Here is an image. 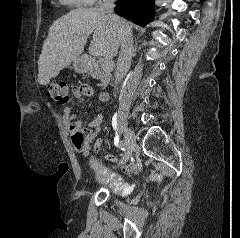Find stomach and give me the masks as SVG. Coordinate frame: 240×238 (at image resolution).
<instances>
[{"label": "stomach", "instance_id": "0dacf381", "mask_svg": "<svg viewBox=\"0 0 240 238\" xmlns=\"http://www.w3.org/2000/svg\"><path fill=\"white\" fill-rule=\"evenodd\" d=\"M73 68L78 73H84L88 70V64L82 61L81 58L75 59L73 63Z\"/></svg>", "mask_w": 240, "mask_h": 238}]
</instances>
